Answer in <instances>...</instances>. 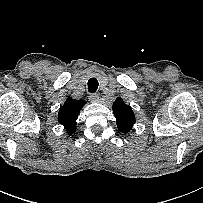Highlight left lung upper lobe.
I'll list each match as a JSON object with an SVG mask.
<instances>
[{
  "label": "left lung upper lobe",
  "instance_id": "5c2ea615",
  "mask_svg": "<svg viewBox=\"0 0 203 203\" xmlns=\"http://www.w3.org/2000/svg\"><path fill=\"white\" fill-rule=\"evenodd\" d=\"M112 108L117 119L116 123L119 131L122 133H128L135 123L133 110L130 106L125 104L121 98L116 99Z\"/></svg>",
  "mask_w": 203,
  "mask_h": 203
}]
</instances>
